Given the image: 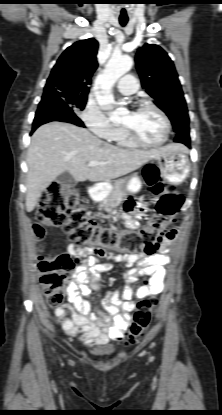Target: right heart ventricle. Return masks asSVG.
Returning <instances> with one entry per match:
<instances>
[{"label": "right heart ventricle", "mask_w": 222, "mask_h": 415, "mask_svg": "<svg viewBox=\"0 0 222 415\" xmlns=\"http://www.w3.org/2000/svg\"><path fill=\"white\" fill-rule=\"evenodd\" d=\"M111 141L116 143L117 145H119L121 147H126V148H134V147L137 146L135 143H133L129 139V137L127 136V134L125 133V131L122 127H118L117 131L115 132V134L111 138Z\"/></svg>", "instance_id": "right-heart-ventricle-1"}]
</instances>
